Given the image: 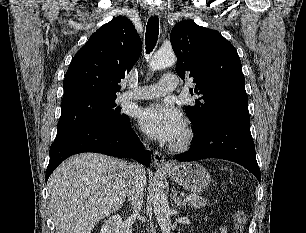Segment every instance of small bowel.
<instances>
[{
	"mask_svg": "<svg viewBox=\"0 0 306 233\" xmlns=\"http://www.w3.org/2000/svg\"><path fill=\"white\" fill-rule=\"evenodd\" d=\"M209 233H228V230L225 226H220L218 229L210 227Z\"/></svg>",
	"mask_w": 306,
	"mask_h": 233,
	"instance_id": "c3829d8e",
	"label": "small bowel"
}]
</instances>
